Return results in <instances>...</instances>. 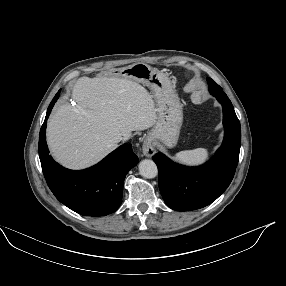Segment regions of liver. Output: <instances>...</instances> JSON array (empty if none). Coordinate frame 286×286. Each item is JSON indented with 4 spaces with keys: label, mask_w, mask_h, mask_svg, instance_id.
<instances>
[{
    "label": "liver",
    "mask_w": 286,
    "mask_h": 286,
    "mask_svg": "<svg viewBox=\"0 0 286 286\" xmlns=\"http://www.w3.org/2000/svg\"><path fill=\"white\" fill-rule=\"evenodd\" d=\"M72 91L78 105L57 107L47 126L50 151L65 167H89L113 151L119 137L128 140L156 122L152 96L129 79L81 77Z\"/></svg>",
    "instance_id": "6515ba94"
}]
</instances>
